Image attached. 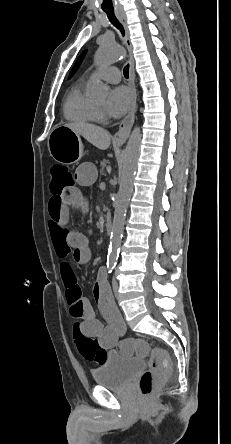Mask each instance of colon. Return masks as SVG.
I'll return each instance as SVG.
<instances>
[{
  "label": "colon",
  "instance_id": "colon-1",
  "mask_svg": "<svg viewBox=\"0 0 231 444\" xmlns=\"http://www.w3.org/2000/svg\"><path fill=\"white\" fill-rule=\"evenodd\" d=\"M73 184V175L66 166L55 164L50 168L52 198H60ZM73 338L83 358L98 365L105 361L107 351L99 345L96 339L81 332L79 321L74 325ZM123 347L138 356L149 358V368L141 374L138 385L142 395H150L164 383L170 373V359L167 353L160 348H151L146 341L136 338L126 339Z\"/></svg>",
  "mask_w": 231,
  "mask_h": 444
}]
</instances>
